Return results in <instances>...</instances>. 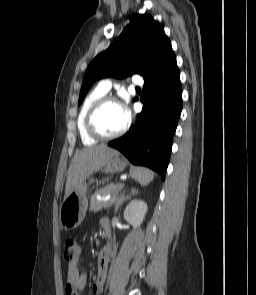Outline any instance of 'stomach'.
<instances>
[{"label": "stomach", "instance_id": "0dacf381", "mask_svg": "<svg viewBox=\"0 0 256 295\" xmlns=\"http://www.w3.org/2000/svg\"><path fill=\"white\" fill-rule=\"evenodd\" d=\"M125 167V161L120 158L119 154H116L109 159L101 170L106 173H115L122 172ZM87 190L88 184L83 183L63 200L59 219L62 227L66 230L75 229L82 223L88 208Z\"/></svg>", "mask_w": 256, "mask_h": 295}]
</instances>
